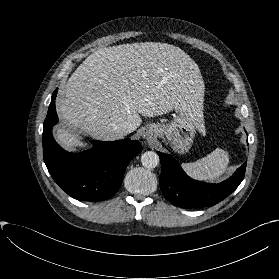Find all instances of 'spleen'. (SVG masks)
Listing matches in <instances>:
<instances>
[{
  "label": "spleen",
  "mask_w": 279,
  "mask_h": 279,
  "mask_svg": "<svg viewBox=\"0 0 279 279\" xmlns=\"http://www.w3.org/2000/svg\"><path fill=\"white\" fill-rule=\"evenodd\" d=\"M228 164V152L224 149L217 148L196 162L182 163V168L195 180L213 181L225 172Z\"/></svg>",
  "instance_id": "1"
}]
</instances>
